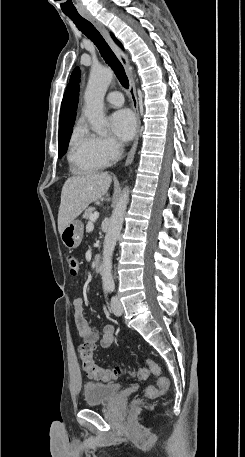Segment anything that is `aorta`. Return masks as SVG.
Returning a JSON list of instances; mask_svg holds the SVG:
<instances>
[{
    "label": "aorta",
    "instance_id": "aorta-1",
    "mask_svg": "<svg viewBox=\"0 0 245 457\" xmlns=\"http://www.w3.org/2000/svg\"><path fill=\"white\" fill-rule=\"evenodd\" d=\"M113 78L112 70L94 66L90 71L88 84L85 90V110L84 114L88 118L93 130L101 132L107 124L103 112L104 95ZM129 201V189H123L118 199L115 209L110 218L108 231L105 235L102 257V282L104 286L114 284L112 276V256L117 239L122 229L124 215Z\"/></svg>",
    "mask_w": 245,
    "mask_h": 457
}]
</instances>
